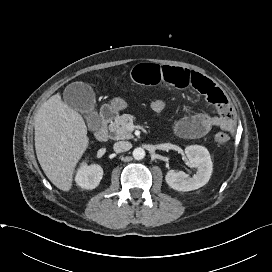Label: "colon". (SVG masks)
Masks as SVG:
<instances>
[{"label":"colon","mask_w":272,"mask_h":272,"mask_svg":"<svg viewBox=\"0 0 272 272\" xmlns=\"http://www.w3.org/2000/svg\"><path fill=\"white\" fill-rule=\"evenodd\" d=\"M149 107L153 111L160 112L167 107V103L164 100L155 99L149 103ZM228 140H229V137L224 132H219L215 136V141L220 145L226 144Z\"/></svg>","instance_id":"1"}]
</instances>
